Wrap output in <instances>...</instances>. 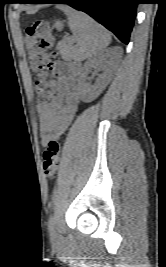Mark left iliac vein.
Returning <instances> with one entry per match:
<instances>
[{
	"label": "left iliac vein",
	"instance_id": "1",
	"mask_svg": "<svg viewBox=\"0 0 166 267\" xmlns=\"http://www.w3.org/2000/svg\"><path fill=\"white\" fill-rule=\"evenodd\" d=\"M51 240L53 242H56L57 241V233L55 231H52L51 232Z\"/></svg>",
	"mask_w": 166,
	"mask_h": 267
}]
</instances>
